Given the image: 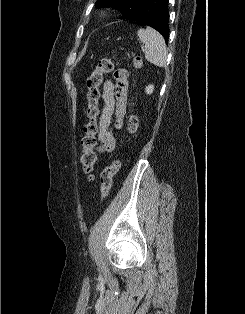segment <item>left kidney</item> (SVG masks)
<instances>
[{"mask_svg":"<svg viewBox=\"0 0 245 314\" xmlns=\"http://www.w3.org/2000/svg\"><path fill=\"white\" fill-rule=\"evenodd\" d=\"M153 90H154V86L153 85H148L146 88H145V91L147 94H152L153 93Z\"/></svg>","mask_w":245,"mask_h":314,"instance_id":"left-kidney-1","label":"left kidney"}]
</instances>
